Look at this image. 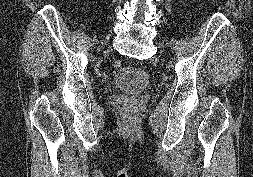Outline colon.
<instances>
[{"label":"colon","mask_w":253,"mask_h":177,"mask_svg":"<svg viewBox=\"0 0 253 177\" xmlns=\"http://www.w3.org/2000/svg\"><path fill=\"white\" fill-rule=\"evenodd\" d=\"M122 66H123V63H122L121 60H115V61H114V67H115L116 69H120Z\"/></svg>","instance_id":"colon-1"}]
</instances>
